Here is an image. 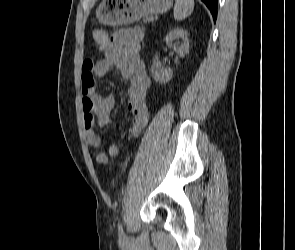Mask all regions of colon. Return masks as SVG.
Segmentation results:
<instances>
[{"label": "colon", "mask_w": 295, "mask_h": 250, "mask_svg": "<svg viewBox=\"0 0 295 250\" xmlns=\"http://www.w3.org/2000/svg\"><path fill=\"white\" fill-rule=\"evenodd\" d=\"M91 40L99 47H104L108 42V33L106 30L102 28H95L91 31ZM98 162L105 164L107 162V156L105 154H101L97 156Z\"/></svg>", "instance_id": "1"}]
</instances>
